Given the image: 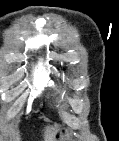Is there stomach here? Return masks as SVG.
<instances>
[{
  "label": "stomach",
  "instance_id": "1",
  "mask_svg": "<svg viewBox=\"0 0 119 141\" xmlns=\"http://www.w3.org/2000/svg\"><path fill=\"white\" fill-rule=\"evenodd\" d=\"M69 133L66 129H58L52 136L51 141H69Z\"/></svg>",
  "mask_w": 119,
  "mask_h": 141
}]
</instances>
